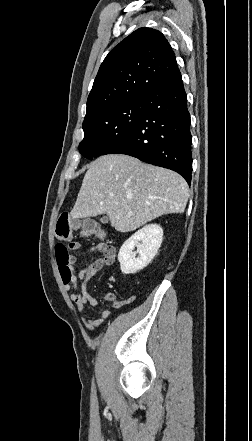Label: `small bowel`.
<instances>
[{"label":"small bowel","instance_id":"obj_1","mask_svg":"<svg viewBox=\"0 0 252 441\" xmlns=\"http://www.w3.org/2000/svg\"><path fill=\"white\" fill-rule=\"evenodd\" d=\"M70 248L73 250H80L81 244L79 242H72L70 244ZM102 255L101 257L95 259L93 262L85 266L81 272L79 273V280L81 283V292L73 293L71 295V299L75 303L77 309L81 312V321L84 327L88 331H93L95 327L103 324L104 320L109 318L110 312L106 309H101L99 311V318H91L87 313H85V307L87 305L96 306L97 300L91 296L87 291V283L92 279V277L103 267L110 266L115 261V253L114 249L111 246L104 244L101 250H98ZM75 258L71 257V270L72 276L69 279H66L62 274V280L66 288H69L71 284H75L77 281L76 275L73 273L72 264L74 263ZM103 298L110 302L113 307L121 308L122 302L119 298L112 292H104L102 294Z\"/></svg>","mask_w":252,"mask_h":441}]
</instances>
